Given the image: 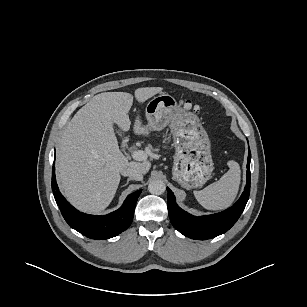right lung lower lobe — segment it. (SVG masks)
<instances>
[{"label": "right lung lower lobe", "instance_id": "right-lung-lower-lobe-1", "mask_svg": "<svg viewBox=\"0 0 307 307\" xmlns=\"http://www.w3.org/2000/svg\"><path fill=\"white\" fill-rule=\"evenodd\" d=\"M52 190L56 203L68 225L82 235L97 240L117 236L129 227L133 220L137 199L142 191L138 190L128 195L118 210L104 216H94L79 212L66 201L58 189L54 166L52 168Z\"/></svg>", "mask_w": 307, "mask_h": 307}]
</instances>
